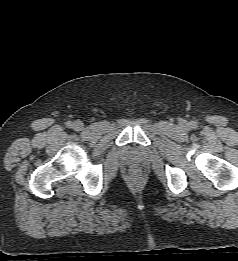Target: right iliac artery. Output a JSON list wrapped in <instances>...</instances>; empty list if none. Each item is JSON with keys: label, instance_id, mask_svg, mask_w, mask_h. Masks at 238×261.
Wrapping results in <instances>:
<instances>
[{"label": "right iliac artery", "instance_id": "right-iliac-artery-1", "mask_svg": "<svg viewBox=\"0 0 238 261\" xmlns=\"http://www.w3.org/2000/svg\"><path fill=\"white\" fill-rule=\"evenodd\" d=\"M66 126H67L68 128H72V127H73V122H72V121H67V122H66Z\"/></svg>", "mask_w": 238, "mask_h": 261}]
</instances>
